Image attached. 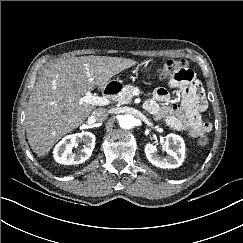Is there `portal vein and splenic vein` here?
Returning a JSON list of instances; mask_svg holds the SVG:
<instances>
[{"label": "portal vein and splenic vein", "mask_w": 243, "mask_h": 243, "mask_svg": "<svg viewBox=\"0 0 243 243\" xmlns=\"http://www.w3.org/2000/svg\"><path fill=\"white\" fill-rule=\"evenodd\" d=\"M80 103H88L96 106H105L110 103V100L106 97L95 96L91 93V90L86 91L85 96L80 99Z\"/></svg>", "instance_id": "18ae733b"}]
</instances>
